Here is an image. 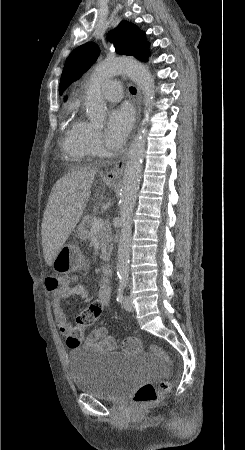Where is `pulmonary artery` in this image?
Segmentation results:
<instances>
[{
	"mask_svg": "<svg viewBox=\"0 0 245 450\" xmlns=\"http://www.w3.org/2000/svg\"><path fill=\"white\" fill-rule=\"evenodd\" d=\"M122 83L115 79L106 80L101 86V93L108 101H119L121 99L120 90Z\"/></svg>",
	"mask_w": 245,
	"mask_h": 450,
	"instance_id": "1",
	"label": "pulmonary artery"
}]
</instances>
